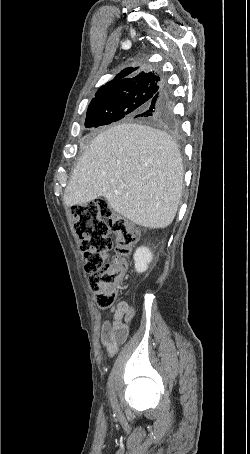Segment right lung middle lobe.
Wrapping results in <instances>:
<instances>
[{"instance_id":"1","label":"right lung middle lobe","mask_w":250,"mask_h":454,"mask_svg":"<svg viewBox=\"0 0 250 454\" xmlns=\"http://www.w3.org/2000/svg\"><path fill=\"white\" fill-rule=\"evenodd\" d=\"M160 89L161 87L156 85H141L122 94L119 98L109 97L91 102L87 111L85 127L97 128L122 118H134L154 124H167L160 118L143 114Z\"/></svg>"}]
</instances>
